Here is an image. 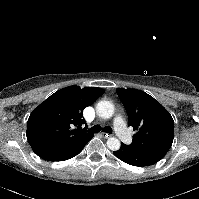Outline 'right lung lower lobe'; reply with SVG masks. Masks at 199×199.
I'll return each mask as SVG.
<instances>
[{
    "label": "right lung lower lobe",
    "mask_w": 199,
    "mask_h": 199,
    "mask_svg": "<svg viewBox=\"0 0 199 199\" xmlns=\"http://www.w3.org/2000/svg\"><path fill=\"white\" fill-rule=\"evenodd\" d=\"M93 136V134H90L89 136L84 137L63 148L52 151L38 152L36 154L44 160L64 161L79 154L81 150L84 148V146L92 139Z\"/></svg>",
    "instance_id": "obj_1"
}]
</instances>
